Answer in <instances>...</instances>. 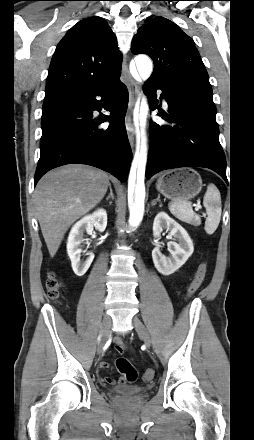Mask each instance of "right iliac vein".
<instances>
[{"label": "right iliac vein", "mask_w": 254, "mask_h": 440, "mask_svg": "<svg viewBox=\"0 0 254 440\" xmlns=\"http://www.w3.org/2000/svg\"><path fill=\"white\" fill-rule=\"evenodd\" d=\"M111 324H112L111 317L109 315H105L102 322V337L97 348V353L99 355L102 353L103 347L109 338Z\"/></svg>", "instance_id": "1"}]
</instances>
